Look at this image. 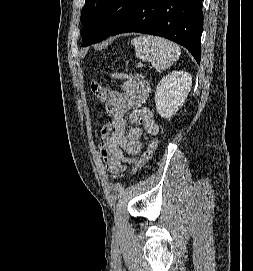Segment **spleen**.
Listing matches in <instances>:
<instances>
[{
  "instance_id": "1",
  "label": "spleen",
  "mask_w": 253,
  "mask_h": 271,
  "mask_svg": "<svg viewBox=\"0 0 253 271\" xmlns=\"http://www.w3.org/2000/svg\"><path fill=\"white\" fill-rule=\"evenodd\" d=\"M135 55L142 61L151 63L157 71H165L180 57V47L161 37L143 35L132 39Z\"/></svg>"
}]
</instances>
